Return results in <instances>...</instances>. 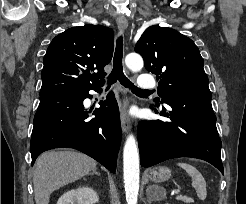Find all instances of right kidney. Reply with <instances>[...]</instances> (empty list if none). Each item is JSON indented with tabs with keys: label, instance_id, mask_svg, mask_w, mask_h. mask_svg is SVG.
I'll return each mask as SVG.
<instances>
[{
	"label": "right kidney",
	"instance_id": "right-kidney-1",
	"mask_svg": "<svg viewBox=\"0 0 246 204\" xmlns=\"http://www.w3.org/2000/svg\"><path fill=\"white\" fill-rule=\"evenodd\" d=\"M99 201V196L90 187H78L64 193L57 204H95Z\"/></svg>",
	"mask_w": 246,
	"mask_h": 204
}]
</instances>
